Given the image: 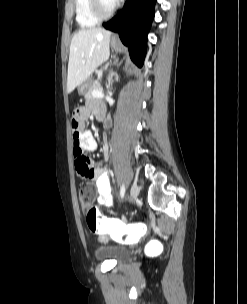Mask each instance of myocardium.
Masks as SVG:
<instances>
[{
    "mask_svg": "<svg viewBox=\"0 0 247 304\" xmlns=\"http://www.w3.org/2000/svg\"><path fill=\"white\" fill-rule=\"evenodd\" d=\"M90 10L92 15L99 21L109 19L117 11L119 3L116 2L113 8L109 11H105L102 7L101 0H89Z\"/></svg>",
    "mask_w": 247,
    "mask_h": 304,
    "instance_id": "obj_1",
    "label": "myocardium"
}]
</instances>
